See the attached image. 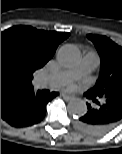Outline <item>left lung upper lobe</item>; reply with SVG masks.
<instances>
[{"instance_id": "5c2ea615", "label": "left lung upper lobe", "mask_w": 122, "mask_h": 154, "mask_svg": "<svg viewBox=\"0 0 122 154\" xmlns=\"http://www.w3.org/2000/svg\"><path fill=\"white\" fill-rule=\"evenodd\" d=\"M100 55L101 71L94 87L85 95L104 99L117 89H122V47L102 35H87Z\"/></svg>"}]
</instances>
